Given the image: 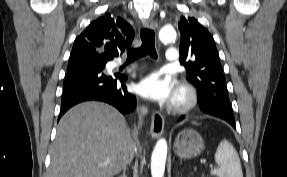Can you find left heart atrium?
I'll list each match as a JSON object with an SVG mask.
<instances>
[{
    "instance_id": "obj_1",
    "label": "left heart atrium",
    "mask_w": 287,
    "mask_h": 177,
    "mask_svg": "<svg viewBox=\"0 0 287 177\" xmlns=\"http://www.w3.org/2000/svg\"><path fill=\"white\" fill-rule=\"evenodd\" d=\"M137 92L144 98L165 102L176 93V85L171 77H163L159 72L152 73L140 80Z\"/></svg>"
}]
</instances>
